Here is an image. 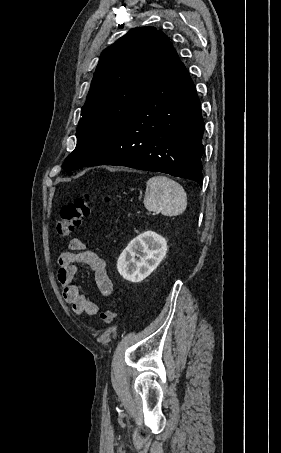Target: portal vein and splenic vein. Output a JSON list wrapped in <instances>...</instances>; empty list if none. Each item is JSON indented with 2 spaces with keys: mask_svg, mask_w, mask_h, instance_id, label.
I'll return each instance as SVG.
<instances>
[{
  "mask_svg": "<svg viewBox=\"0 0 281 453\" xmlns=\"http://www.w3.org/2000/svg\"><path fill=\"white\" fill-rule=\"evenodd\" d=\"M140 212H141V211L138 210V211L136 212V215H139ZM160 214H161L160 212H151V215H154L155 217H156L157 215H160Z\"/></svg>",
  "mask_w": 281,
  "mask_h": 453,
  "instance_id": "portal-vein-and-splenic-vein-1",
  "label": "portal vein and splenic vein"
}]
</instances>
